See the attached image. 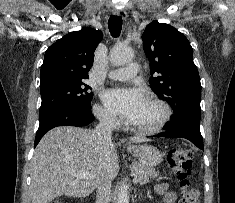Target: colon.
Masks as SVG:
<instances>
[{
    "mask_svg": "<svg viewBox=\"0 0 235 203\" xmlns=\"http://www.w3.org/2000/svg\"><path fill=\"white\" fill-rule=\"evenodd\" d=\"M192 157L193 152L186 148H175L168 153L169 169L177 176L182 188L180 203H199V192L190 178ZM52 203L60 202L54 201Z\"/></svg>",
    "mask_w": 235,
    "mask_h": 203,
    "instance_id": "1",
    "label": "colon"
}]
</instances>
